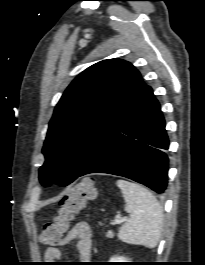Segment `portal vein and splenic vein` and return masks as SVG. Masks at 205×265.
Segmentation results:
<instances>
[{
	"label": "portal vein and splenic vein",
	"mask_w": 205,
	"mask_h": 265,
	"mask_svg": "<svg viewBox=\"0 0 205 265\" xmlns=\"http://www.w3.org/2000/svg\"><path fill=\"white\" fill-rule=\"evenodd\" d=\"M125 221V219L124 218H116L115 220H114V223L115 224H121V223H123Z\"/></svg>",
	"instance_id": "1"
}]
</instances>
